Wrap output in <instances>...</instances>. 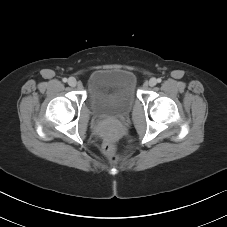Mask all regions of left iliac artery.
<instances>
[{
	"mask_svg": "<svg viewBox=\"0 0 227 227\" xmlns=\"http://www.w3.org/2000/svg\"><path fill=\"white\" fill-rule=\"evenodd\" d=\"M161 81H162L161 78H158V79H157V82H158V83H160Z\"/></svg>",
	"mask_w": 227,
	"mask_h": 227,
	"instance_id": "44dca946",
	"label": "left iliac artery"
}]
</instances>
